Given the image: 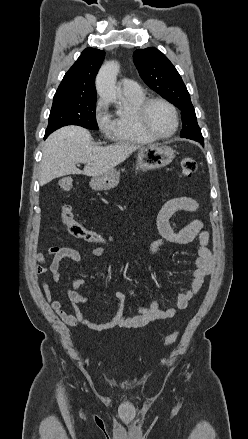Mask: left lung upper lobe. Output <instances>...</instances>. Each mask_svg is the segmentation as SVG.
Segmentation results:
<instances>
[{
    "label": "left lung upper lobe",
    "instance_id": "1",
    "mask_svg": "<svg viewBox=\"0 0 248 439\" xmlns=\"http://www.w3.org/2000/svg\"><path fill=\"white\" fill-rule=\"evenodd\" d=\"M134 63L142 80L155 92L176 105L182 112L180 136L204 145L190 95L179 73L169 59L154 47L134 52Z\"/></svg>",
    "mask_w": 248,
    "mask_h": 439
}]
</instances>
